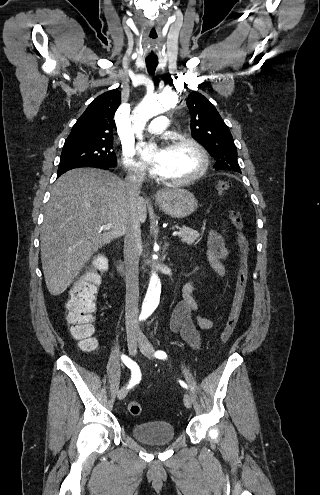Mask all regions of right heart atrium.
Segmentation results:
<instances>
[{
    "instance_id": "right-heart-atrium-1",
    "label": "right heart atrium",
    "mask_w": 320,
    "mask_h": 495,
    "mask_svg": "<svg viewBox=\"0 0 320 495\" xmlns=\"http://www.w3.org/2000/svg\"><path fill=\"white\" fill-rule=\"evenodd\" d=\"M122 162L127 173L136 178H142L145 175V168L142 163L137 161L133 155V151L129 148H124L122 151Z\"/></svg>"
}]
</instances>
